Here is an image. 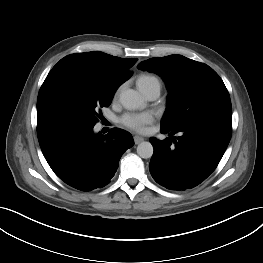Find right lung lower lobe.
I'll return each mask as SVG.
<instances>
[{
  "mask_svg": "<svg viewBox=\"0 0 263 263\" xmlns=\"http://www.w3.org/2000/svg\"><path fill=\"white\" fill-rule=\"evenodd\" d=\"M42 153L68 185L91 191L110 183L122 154L134 145L130 133L113 128L107 135L93 127L54 126L37 131Z\"/></svg>",
  "mask_w": 263,
  "mask_h": 263,
  "instance_id": "right-lung-lower-lobe-1",
  "label": "right lung lower lobe"
}]
</instances>
